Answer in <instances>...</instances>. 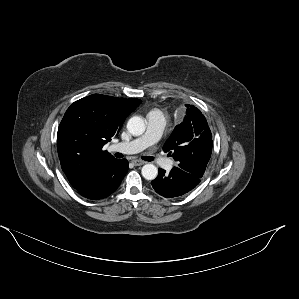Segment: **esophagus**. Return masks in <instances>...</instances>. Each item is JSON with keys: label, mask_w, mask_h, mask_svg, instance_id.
I'll use <instances>...</instances> for the list:
<instances>
[{"label": "esophagus", "mask_w": 299, "mask_h": 299, "mask_svg": "<svg viewBox=\"0 0 299 299\" xmlns=\"http://www.w3.org/2000/svg\"><path fill=\"white\" fill-rule=\"evenodd\" d=\"M132 162H133V164H134L135 166H141V165H143V164L145 163L144 161H142V160H138V159H135V160H133Z\"/></svg>", "instance_id": "1"}]
</instances>
